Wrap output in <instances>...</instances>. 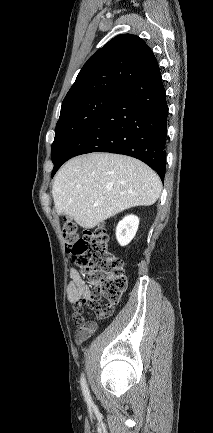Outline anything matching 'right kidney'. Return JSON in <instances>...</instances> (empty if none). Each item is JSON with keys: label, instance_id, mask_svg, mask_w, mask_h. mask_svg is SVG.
Listing matches in <instances>:
<instances>
[{"label": "right kidney", "instance_id": "ca27d5eb", "mask_svg": "<svg viewBox=\"0 0 213 433\" xmlns=\"http://www.w3.org/2000/svg\"><path fill=\"white\" fill-rule=\"evenodd\" d=\"M139 226V218L135 215L125 216L116 227V238L121 246L128 245L134 238Z\"/></svg>", "mask_w": 213, "mask_h": 433}]
</instances>
